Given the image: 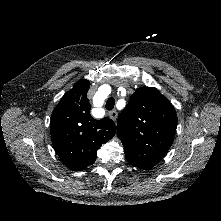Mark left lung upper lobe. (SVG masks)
<instances>
[{"mask_svg": "<svg viewBox=\"0 0 221 221\" xmlns=\"http://www.w3.org/2000/svg\"><path fill=\"white\" fill-rule=\"evenodd\" d=\"M176 127V111L167 98L153 87L136 89L117 124L127 161L141 169L155 166L170 149Z\"/></svg>", "mask_w": 221, "mask_h": 221, "instance_id": "5c2ea615", "label": "left lung upper lobe"}]
</instances>
